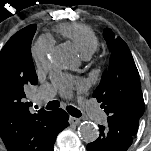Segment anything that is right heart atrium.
<instances>
[{"label": "right heart atrium", "instance_id": "1", "mask_svg": "<svg viewBox=\"0 0 151 151\" xmlns=\"http://www.w3.org/2000/svg\"><path fill=\"white\" fill-rule=\"evenodd\" d=\"M32 55L37 63H41L47 56V50L40 45H36L32 49Z\"/></svg>", "mask_w": 151, "mask_h": 151}]
</instances>
